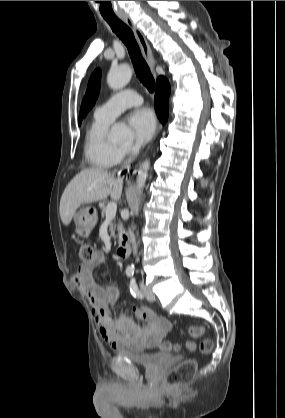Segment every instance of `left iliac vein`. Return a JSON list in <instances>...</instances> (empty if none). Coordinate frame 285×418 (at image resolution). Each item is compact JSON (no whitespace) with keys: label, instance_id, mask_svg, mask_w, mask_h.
I'll return each mask as SVG.
<instances>
[{"label":"left iliac vein","instance_id":"4c4485c4","mask_svg":"<svg viewBox=\"0 0 285 418\" xmlns=\"http://www.w3.org/2000/svg\"><path fill=\"white\" fill-rule=\"evenodd\" d=\"M140 289L144 297H146L148 300L153 301L155 299L152 290L149 289L144 283H140Z\"/></svg>","mask_w":285,"mask_h":418}]
</instances>
